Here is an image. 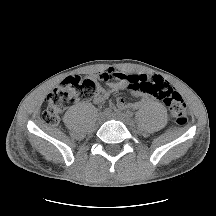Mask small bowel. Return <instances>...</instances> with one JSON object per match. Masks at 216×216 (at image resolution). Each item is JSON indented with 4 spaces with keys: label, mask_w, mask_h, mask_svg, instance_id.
Returning <instances> with one entry per match:
<instances>
[{
    "label": "small bowel",
    "mask_w": 216,
    "mask_h": 216,
    "mask_svg": "<svg viewBox=\"0 0 216 216\" xmlns=\"http://www.w3.org/2000/svg\"><path fill=\"white\" fill-rule=\"evenodd\" d=\"M99 79L109 83V87H98L94 96V102L96 104L104 103L112 93L118 92L123 89L132 90L133 94L141 98L142 103L151 102L156 96L146 90H140L135 88L136 83H157L164 81L160 76L147 75V74H127L123 72H116L113 69H109L98 75ZM141 103L127 104L123 98H118L115 103L116 109H124L126 107H139Z\"/></svg>",
    "instance_id": "small-bowel-1"
}]
</instances>
